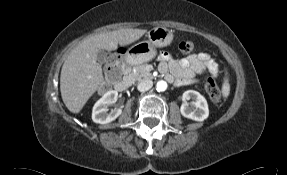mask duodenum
<instances>
[{
    "mask_svg": "<svg viewBox=\"0 0 287 175\" xmlns=\"http://www.w3.org/2000/svg\"><path fill=\"white\" fill-rule=\"evenodd\" d=\"M129 64L130 62L129 61H125L123 64H122V70L124 72V75L123 77L118 80L115 84L116 86V89L119 90V91H125L129 88L130 84H131V80H130V77L129 75L127 74V71L129 69ZM107 77H110V73L107 74Z\"/></svg>",
    "mask_w": 287,
    "mask_h": 175,
    "instance_id": "obj_1",
    "label": "duodenum"
}]
</instances>
